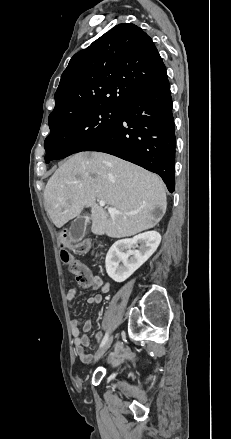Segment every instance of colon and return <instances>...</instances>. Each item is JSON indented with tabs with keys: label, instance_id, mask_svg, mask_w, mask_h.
Here are the masks:
<instances>
[{
	"label": "colon",
	"instance_id": "5ec220e1",
	"mask_svg": "<svg viewBox=\"0 0 231 439\" xmlns=\"http://www.w3.org/2000/svg\"><path fill=\"white\" fill-rule=\"evenodd\" d=\"M58 245L60 248V258L64 264L69 268V271L75 275L77 282L84 288H86L91 282V272L83 263L75 259L74 255L70 251V246L79 249L81 252L87 253L92 251L90 244L86 241H79L75 238L73 243H69V237L65 230H61L58 233ZM95 246V243H92Z\"/></svg>",
	"mask_w": 231,
	"mask_h": 439
}]
</instances>
